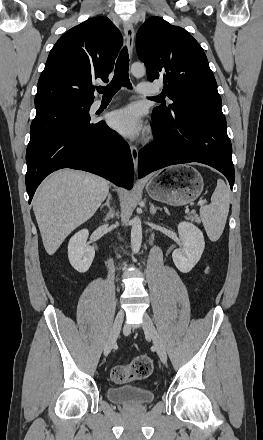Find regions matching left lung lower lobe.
<instances>
[{
    "label": "left lung lower lobe",
    "instance_id": "0a47b994",
    "mask_svg": "<svg viewBox=\"0 0 263 440\" xmlns=\"http://www.w3.org/2000/svg\"><path fill=\"white\" fill-rule=\"evenodd\" d=\"M152 120L156 139L139 153V178L169 165L199 162L223 173L232 189V146L223 113L178 115L172 120L153 114Z\"/></svg>",
    "mask_w": 263,
    "mask_h": 440
}]
</instances>
